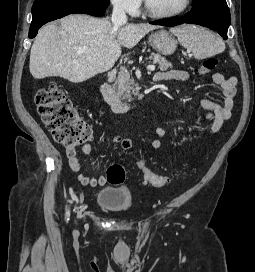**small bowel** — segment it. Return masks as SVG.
I'll return each instance as SVG.
<instances>
[{
	"mask_svg": "<svg viewBox=\"0 0 255 272\" xmlns=\"http://www.w3.org/2000/svg\"><path fill=\"white\" fill-rule=\"evenodd\" d=\"M189 77V73L184 70H168L157 72L154 76V80L157 82L186 81ZM211 80L215 85L221 88L224 97L223 104H220L213 99L205 98L201 100V105L204 109L209 111L206 118L211 122L210 133L215 134L221 129L223 123L231 117V111L235 105L237 78L234 76L226 78L221 73H214ZM165 136V129L161 127L157 128L155 130L154 138L151 141V147L153 149H159L162 146ZM114 141L119 143L124 150H130L132 148V140L128 137L117 135L114 137ZM81 150L85 155H90L92 153L91 143H85ZM66 156L70 168L74 172H80L82 167L77 158L76 150L66 149ZM78 178L83 186L96 187L104 186L107 183V178L104 175H101L98 178L79 175Z\"/></svg>",
	"mask_w": 255,
	"mask_h": 272,
	"instance_id": "obj_1",
	"label": "small bowel"
}]
</instances>
